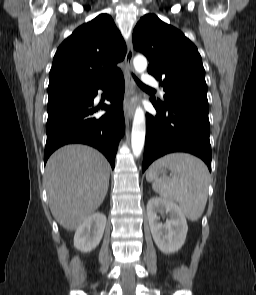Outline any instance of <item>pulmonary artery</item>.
Instances as JSON below:
<instances>
[{"label":"pulmonary artery","mask_w":256,"mask_h":295,"mask_svg":"<svg viewBox=\"0 0 256 295\" xmlns=\"http://www.w3.org/2000/svg\"><path fill=\"white\" fill-rule=\"evenodd\" d=\"M142 81L148 86L158 87L157 80L147 73L143 74Z\"/></svg>","instance_id":"e3ab8cb5"}]
</instances>
